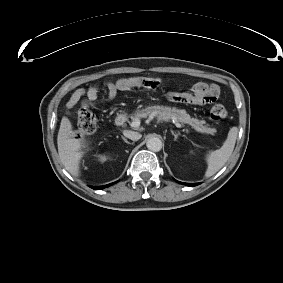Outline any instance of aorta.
Returning <instances> with one entry per match:
<instances>
[{"label": "aorta", "instance_id": "1", "mask_svg": "<svg viewBox=\"0 0 283 283\" xmlns=\"http://www.w3.org/2000/svg\"><path fill=\"white\" fill-rule=\"evenodd\" d=\"M146 146L150 151L158 152L162 149V141L156 136L147 139Z\"/></svg>", "mask_w": 283, "mask_h": 283}]
</instances>
